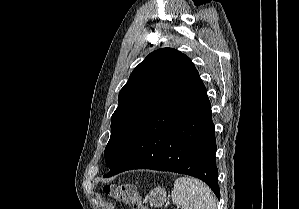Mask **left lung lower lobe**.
Wrapping results in <instances>:
<instances>
[{
	"mask_svg": "<svg viewBox=\"0 0 299 209\" xmlns=\"http://www.w3.org/2000/svg\"><path fill=\"white\" fill-rule=\"evenodd\" d=\"M211 103L198 75L168 100L133 138L104 177L131 169L197 177L219 198Z\"/></svg>",
	"mask_w": 299,
	"mask_h": 209,
	"instance_id": "1",
	"label": "left lung lower lobe"
}]
</instances>
